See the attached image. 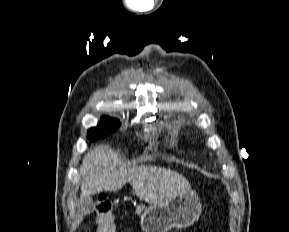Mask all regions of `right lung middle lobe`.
Returning <instances> with one entry per match:
<instances>
[{
  "label": "right lung middle lobe",
  "mask_w": 289,
  "mask_h": 232,
  "mask_svg": "<svg viewBox=\"0 0 289 232\" xmlns=\"http://www.w3.org/2000/svg\"><path fill=\"white\" fill-rule=\"evenodd\" d=\"M120 126L118 120L110 117H102V122L95 128H91L88 131V139L91 141H97L100 138L108 136L110 133L117 130Z\"/></svg>",
  "instance_id": "right-lung-middle-lobe-1"
}]
</instances>
